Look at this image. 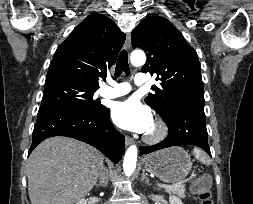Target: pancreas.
<instances>
[{"mask_svg": "<svg viewBox=\"0 0 253 204\" xmlns=\"http://www.w3.org/2000/svg\"><path fill=\"white\" fill-rule=\"evenodd\" d=\"M169 194L177 195L180 198H185V185H180L176 188L166 189Z\"/></svg>", "mask_w": 253, "mask_h": 204, "instance_id": "cf45deb5", "label": "pancreas"}]
</instances>
